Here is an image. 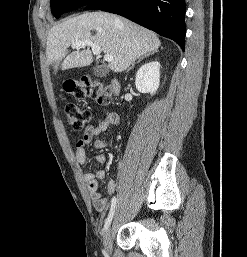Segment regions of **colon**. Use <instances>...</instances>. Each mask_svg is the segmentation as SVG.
Segmentation results:
<instances>
[{
	"instance_id": "5ec220e1",
	"label": "colon",
	"mask_w": 247,
	"mask_h": 257,
	"mask_svg": "<svg viewBox=\"0 0 247 257\" xmlns=\"http://www.w3.org/2000/svg\"><path fill=\"white\" fill-rule=\"evenodd\" d=\"M66 96L72 97L78 101L85 98L94 99L101 105H109L110 90L105 84L84 77L80 80H68L63 85ZM65 112L69 124L76 130H82L87 127L93 119L92 113L75 103H67Z\"/></svg>"
}]
</instances>
